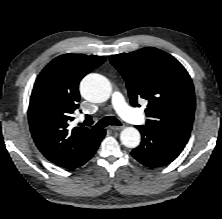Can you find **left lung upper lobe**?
I'll return each instance as SVG.
<instances>
[{"mask_svg":"<svg viewBox=\"0 0 222 219\" xmlns=\"http://www.w3.org/2000/svg\"><path fill=\"white\" fill-rule=\"evenodd\" d=\"M111 64L126 81L130 102L148 101L146 126L187 143L195 112V94L186 69L170 54L146 47L113 55Z\"/></svg>","mask_w":222,"mask_h":219,"instance_id":"obj_1","label":"left lung upper lobe"}]
</instances>
